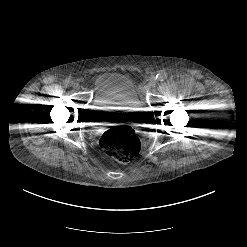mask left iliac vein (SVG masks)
<instances>
[{"label": "left iliac vein", "instance_id": "4c4485c4", "mask_svg": "<svg viewBox=\"0 0 247 247\" xmlns=\"http://www.w3.org/2000/svg\"><path fill=\"white\" fill-rule=\"evenodd\" d=\"M156 83H157L156 79L152 78V79L149 81V83H148V85H147V88L149 89V88L155 87V86H156Z\"/></svg>", "mask_w": 247, "mask_h": 247}]
</instances>
